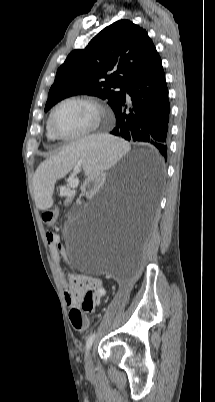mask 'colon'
Masks as SVG:
<instances>
[{
  "instance_id": "5ec220e1",
  "label": "colon",
  "mask_w": 215,
  "mask_h": 402,
  "mask_svg": "<svg viewBox=\"0 0 215 402\" xmlns=\"http://www.w3.org/2000/svg\"><path fill=\"white\" fill-rule=\"evenodd\" d=\"M58 212L57 210H52V211H46L42 214L43 220L49 224L52 225L56 218H57ZM82 307L86 311H92L93 310V304L91 300V294L88 293L86 297L83 300ZM69 318L71 321V324L73 328L77 331H85L88 327V321L85 315L82 313V311L79 308H72L69 312Z\"/></svg>"
}]
</instances>
